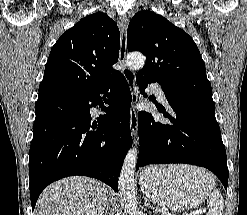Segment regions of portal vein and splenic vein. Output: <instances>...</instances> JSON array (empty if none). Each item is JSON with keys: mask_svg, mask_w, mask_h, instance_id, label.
<instances>
[{"mask_svg": "<svg viewBox=\"0 0 247 215\" xmlns=\"http://www.w3.org/2000/svg\"><path fill=\"white\" fill-rule=\"evenodd\" d=\"M204 212H206L205 210H202V211H200V213H204ZM170 215V214H169ZM189 215H192V214H189Z\"/></svg>", "mask_w": 247, "mask_h": 215, "instance_id": "obj_1", "label": "portal vein and splenic vein"}]
</instances>
